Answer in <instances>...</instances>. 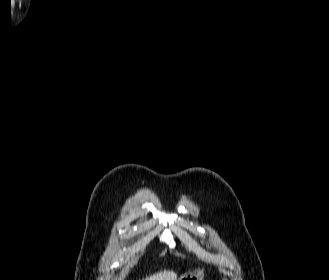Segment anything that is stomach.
Masks as SVG:
<instances>
[{
    "mask_svg": "<svg viewBox=\"0 0 329 280\" xmlns=\"http://www.w3.org/2000/svg\"><path fill=\"white\" fill-rule=\"evenodd\" d=\"M204 279V271L203 269H195L188 271L187 273L180 276L178 280H203Z\"/></svg>",
    "mask_w": 329,
    "mask_h": 280,
    "instance_id": "obj_1",
    "label": "stomach"
}]
</instances>
